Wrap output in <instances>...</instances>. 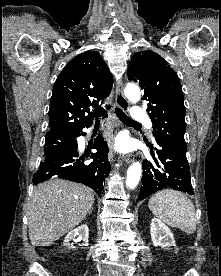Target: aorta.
I'll return each instance as SVG.
<instances>
[{
	"label": "aorta",
	"mask_w": 221,
	"mask_h": 276,
	"mask_svg": "<svg viewBox=\"0 0 221 276\" xmlns=\"http://www.w3.org/2000/svg\"><path fill=\"white\" fill-rule=\"evenodd\" d=\"M125 96L131 102L139 101L141 97L140 89L133 84L127 85L124 90ZM142 172V166L139 162H134L127 170L126 186L130 189H134L140 180Z\"/></svg>",
	"instance_id": "obj_1"
}]
</instances>
